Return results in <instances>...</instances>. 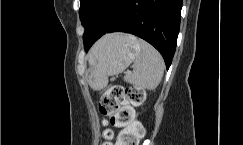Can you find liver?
Instances as JSON below:
<instances>
[{
    "label": "liver",
    "instance_id": "6515ba94",
    "mask_svg": "<svg viewBox=\"0 0 243 145\" xmlns=\"http://www.w3.org/2000/svg\"><path fill=\"white\" fill-rule=\"evenodd\" d=\"M107 37H109V35H106L103 39H105V38H107ZM103 39H101V40L97 43V45L94 47L93 51L96 49V47L98 46V44L101 43V42L103 41ZM93 51H92V52H93Z\"/></svg>",
    "mask_w": 243,
    "mask_h": 145
}]
</instances>
